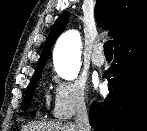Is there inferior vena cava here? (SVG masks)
Here are the masks:
<instances>
[{
	"label": "inferior vena cava",
	"mask_w": 147,
	"mask_h": 131,
	"mask_svg": "<svg viewBox=\"0 0 147 131\" xmlns=\"http://www.w3.org/2000/svg\"><path fill=\"white\" fill-rule=\"evenodd\" d=\"M75 120L79 131H91L88 113L84 102L77 105Z\"/></svg>",
	"instance_id": "inferior-vena-cava-1"
}]
</instances>
